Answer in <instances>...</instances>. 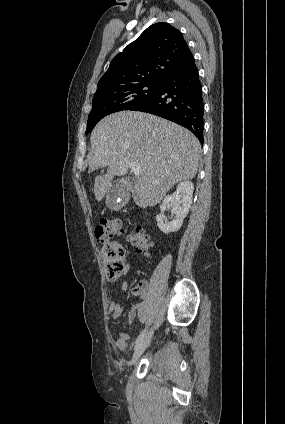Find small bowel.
I'll list each match as a JSON object with an SVG mask.
<instances>
[{
	"label": "small bowel",
	"mask_w": 285,
	"mask_h": 424,
	"mask_svg": "<svg viewBox=\"0 0 285 424\" xmlns=\"http://www.w3.org/2000/svg\"><path fill=\"white\" fill-rule=\"evenodd\" d=\"M119 289L123 292L128 290V285L126 282H121L119 284ZM147 289V281L141 280L132 290L131 294L134 297H138L141 299L140 302L135 303L127 314L126 324L132 323L134 320L139 319L141 322L144 320L146 311L148 309V304L145 300V292ZM124 312V307L117 301H111L107 316L110 322L117 320L120 316H122ZM129 339V333L126 331H122L118 334V336L112 340V348L115 351L124 350L126 347L127 340Z\"/></svg>",
	"instance_id": "c3829d8e"
}]
</instances>
